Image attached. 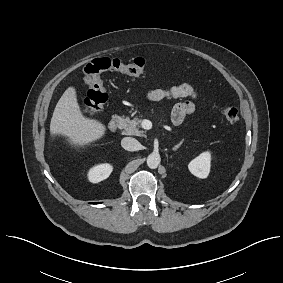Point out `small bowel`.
Segmentation results:
<instances>
[{
	"instance_id": "obj_1",
	"label": "small bowel",
	"mask_w": 283,
	"mask_h": 283,
	"mask_svg": "<svg viewBox=\"0 0 283 283\" xmlns=\"http://www.w3.org/2000/svg\"><path fill=\"white\" fill-rule=\"evenodd\" d=\"M149 100L157 102L164 99H178L189 98L187 100L175 105L171 113V121L175 126L180 125L185 117L189 114H193L196 111V106L192 99L197 97L194 88L186 83L172 86L168 89H152L147 93Z\"/></svg>"
}]
</instances>
